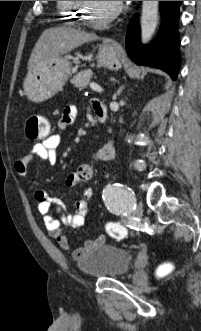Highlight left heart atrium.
Masks as SVG:
<instances>
[{
  "label": "left heart atrium",
  "instance_id": "39dd6f15",
  "mask_svg": "<svg viewBox=\"0 0 201 331\" xmlns=\"http://www.w3.org/2000/svg\"><path fill=\"white\" fill-rule=\"evenodd\" d=\"M122 1H114L116 5H119Z\"/></svg>",
  "mask_w": 201,
  "mask_h": 331
}]
</instances>
